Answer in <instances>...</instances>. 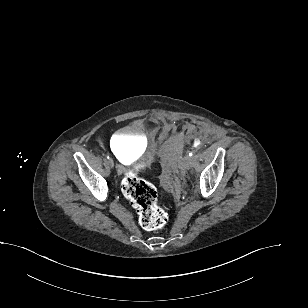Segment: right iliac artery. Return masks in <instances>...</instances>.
<instances>
[{"label":"right iliac artery","mask_w":308,"mask_h":308,"mask_svg":"<svg viewBox=\"0 0 308 308\" xmlns=\"http://www.w3.org/2000/svg\"><path fill=\"white\" fill-rule=\"evenodd\" d=\"M110 157H109V155H107V159H109Z\"/></svg>","instance_id":"obj_1"}]
</instances>
